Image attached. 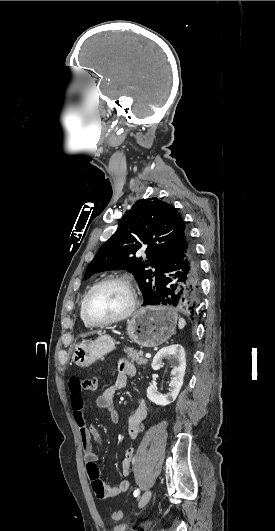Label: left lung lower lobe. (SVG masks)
<instances>
[{
  "instance_id": "0a47b994",
  "label": "left lung lower lobe",
  "mask_w": 275,
  "mask_h": 531,
  "mask_svg": "<svg viewBox=\"0 0 275 531\" xmlns=\"http://www.w3.org/2000/svg\"><path fill=\"white\" fill-rule=\"evenodd\" d=\"M200 266L189 232L179 239L168 262L165 285L153 304L197 313L200 302Z\"/></svg>"
}]
</instances>
